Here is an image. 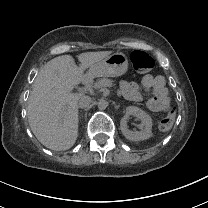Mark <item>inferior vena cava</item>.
Masks as SVG:
<instances>
[{
    "label": "inferior vena cava",
    "instance_id": "inferior-vena-cava-1",
    "mask_svg": "<svg viewBox=\"0 0 208 208\" xmlns=\"http://www.w3.org/2000/svg\"><path fill=\"white\" fill-rule=\"evenodd\" d=\"M91 103V98L89 96H81L78 100V107L80 109L87 108Z\"/></svg>",
    "mask_w": 208,
    "mask_h": 208
}]
</instances>
